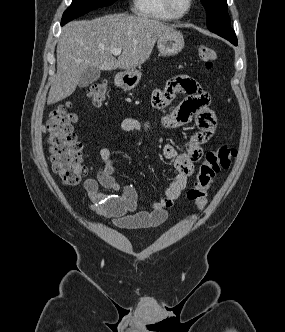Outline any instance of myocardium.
Here are the masks:
<instances>
[{
  "label": "myocardium",
  "mask_w": 285,
  "mask_h": 332,
  "mask_svg": "<svg viewBox=\"0 0 285 332\" xmlns=\"http://www.w3.org/2000/svg\"><path fill=\"white\" fill-rule=\"evenodd\" d=\"M164 4L167 8V10L174 15L177 18H183L184 16H186L190 10L192 9L193 5H194V0H188V5L184 10H179L176 8V6L174 5L173 0H164Z\"/></svg>",
  "instance_id": "obj_1"
}]
</instances>
